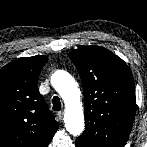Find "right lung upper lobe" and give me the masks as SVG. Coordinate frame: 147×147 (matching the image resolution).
Wrapping results in <instances>:
<instances>
[{"instance_id":"right-lung-upper-lobe-1","label":"right lung upper lobe","mask_w":147,"mask_h":147,"mask_svg":"<svg viewBox=\"0 0 147 147\" xmlns=\"http://www.w3.org/2000/svg\"><path fill=\"white\" fill-rule=\"evenodd\" d=\"M48 58H19L0 69V147H48L58 123L37 82Z\"/></svg>"}]
</instances>
